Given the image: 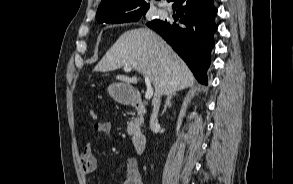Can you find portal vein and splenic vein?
Here are the masks:
<instances>
[{
  "mask_svg": "<svg viewBox=\"0 0 293 184\" xmlns=\"http://www.w3.org/2000/svg\"><path fill=\"white\" fill-rule=\"evenodd\" d=\"M124 70L127 71V72H130L132 70V68L128 67V66H125ZM145 83H146V86H147V90H146V93H145V99L149 100L153 96L154 89L151 86V80H150V78L148 76H145Z\"/></svg>",
  "mask_w": 293,
  "mask_h": 184,
  "instance_id": "portal-vein-and-splenic-vein-1",
  "label": "portal vein and splenic vein"
}]
</instances>
